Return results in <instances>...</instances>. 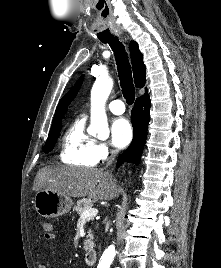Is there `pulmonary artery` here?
I'll return each mask as SVG.
<instances>
[{
	"instance_id": "obj_1",
	"label": "pulmonary artery",
	"mask_w": 221,
	"mask_h": 268,
	"mask_svg": "<svg viewBox=\"0 0 221 268\" xmlns=\"http://www.w3.org/2000/svg\"><path fill=\"white\" fill-rule=\"evenodd\" d=\"M108 109L116 115H121L125 112V105L123 101L117 99L113 100L108 104Z\"/></svg>"
}]
</instances>
